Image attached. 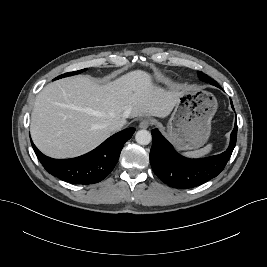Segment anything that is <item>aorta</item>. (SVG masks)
Wrapping results in <instances>:
<instances>
[{
  "label": "aorta",
  "mask_w": 267,
  "mask_h": 267,
  "mask_svg": "<svg viewBox=\"0 0 267 267\" xmlns=\"http://www.w3.org/2000/svg\"><path fill=\"white\" fill-rule=\"evenodd\" d=\"M135 140L140 145H148L151 140L152 136L148 130H139L135 135Z\"/></svg>",
  "instance_id": "obj_1"
}]
</instances>
